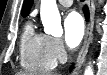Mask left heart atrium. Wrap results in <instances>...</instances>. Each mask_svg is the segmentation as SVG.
<instances>
[{"label": "left heart atrium", "mask_w": 107, "mask_h": 75, "mask_svg": "<svg viewBox=\"0 0 107 75\" xmlns=\"http://www.w3.org/2000/svg\"><path fill=\"white\" fill-rule=\"evenodd\" d=\"M85 25L82 17L76 12H70L64 20L65 42L70 48L77 47L83 39Z\"/></svg>", "instance_id": "1"}]
</instances>
